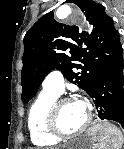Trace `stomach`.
I'll list each match as a JSON object with an SVG mask.
<instances>
[{
    "label": "stomach",
    "mask_w": 124,
    "mask_h": 149,
    "mask_svg": "<svg viewBox=\"0 0 124 149\" xmlns=\"http://www.w3.org/2000/svg\"><path fill=\"white\" fill-rule=\"evenodd\" d=\"M103 124L96 125L92 129H90L88 132H86L84 135L77 138L71 146H69L67 149H94L93 145L95 143L96 138L95 135L97 134L98 129ZM120 138H122V134L120 135ZM118 139V138H116Z\"/></svg>",
    "instance_id": "obj_1"
}]
</instances>
